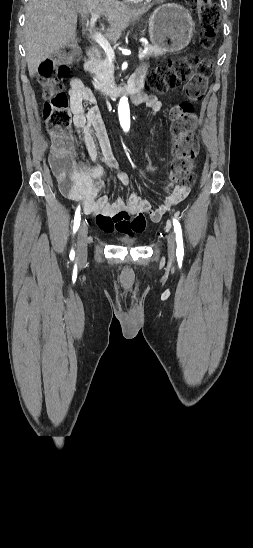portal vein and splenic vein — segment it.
<instances>
[{
    "label": "portal vein and splenic vein",
    "mask_w": 253,
    "mask_h": 548,
    "mask_svg": "<svg viewBox=\"0 0 253 548\" xmlns=\"http://www.w3.org/2000/svg\"><path fill=\"white\" fill-rule=\"evenodd\" d=\"M100 14L99 13H95L91 16V19H90V28L93 29L94 27V24L95 22L97 21V19L99 18ZM92 39L104 50L106 56L110 59V60H114L115 59V54H114V50L112 49L111 45L109 44V42L107 41V39H105V37H103L100 33H97V32H94L92 35H91ZM146 51H139V54H138V58L139 59H143L144 58V54H145Z\"/></svg>",
    "instance_id": "obj_1"
}]
</instances>
